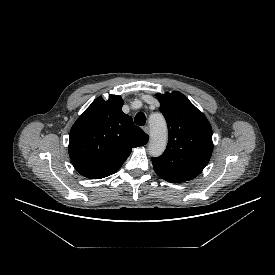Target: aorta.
Here are the masks:
<instances>
[{
  "instance_id": "obj_1",
  "label": "aorta",
  "mask_w": 275,
  "mask_h": 275,
  "mask_svg": "<svg viewBox=\"0 0 275 275\" xmlns=\"http://www.w3.org/2000/svg\"><path fill=\"white\" fill-rule=\"evenodd\" d=\"M150 134L149 153L152 156H159L163 153L167 144V128L162 115L157 114L150 117Z\"/></svg>"
}]
</instances>
